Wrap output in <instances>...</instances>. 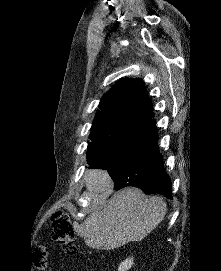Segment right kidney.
Listing matches in <instances>:
<instances>
[{"mask_svg":"<svg viewBox=\"0 0 221 271\" xmlns=\"http://www.w3.org/2000/svg\"><path fill=\"white\" fill-rule=\"evenodd\" d=\"M134 263V257H126V259H123L121 263L118 265V271H128L130 267H132Z\"/></svg>","mask_w":221,"mask_h":271,"instance_id":"1","label":"right kidney"}]
</instances>
